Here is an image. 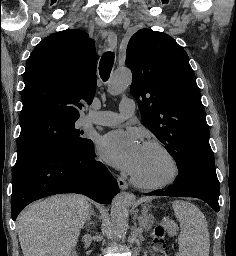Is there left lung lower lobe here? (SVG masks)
Wrapping results in <instances>:
<instances>
[{"mask_svg":"<svg viewBox=\"0 0 236 256\" xmlns=\"http://www.w3.org/2000/svg\"><path fill=\"white\" fill-rule=\"evenodd\" d=\"M219 193L220 184L215 165L196 163L182 167L167 191L155 190L145 195L195 197L202 199L218 212Z\"/></svg>","mask_w":236,"mask_h":256,"instance_id":"0a47b994","label":"left lung lower lobe"}]
</instances>
